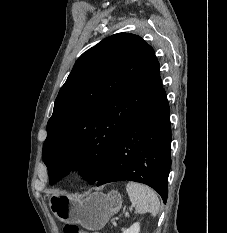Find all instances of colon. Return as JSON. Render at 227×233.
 Returning a JSON list of instances; mask_svg holds the SVG:
<instances>
[{"label": "colon", "mask_w": 227, "mask_h": 233, "mask_svg": "<svg viewBox=\"0 0 227 233\" xmlns=\"http://www.w3.org/2000/svg\"><path fill=\"white\" fill-rule=\"evenodd\" d=\"M64 233H105L100 231H90L83 228H80L76 225H67L64 227Z\"/></svg>", "instance_id": "1"}]
</instances>
